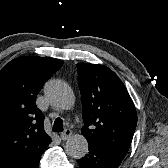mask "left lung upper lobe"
<instances>
[{
    "mask_svg": "<svg viewBox=\"0 0 168 168\" xmlns=\"http://www.w3.org/2000/svg\"><path fill=\"white\" fill-rule=\"evenodd\" d=\"M77 70L83 136L88 143L124 158L137 124L136 109L126 87L106 66L78 63Z\"/></svg>",
    "mask_w": 168,
    "mask_h": 168,
    "instance_id": "obj_1",
    "label": "left lung upper lobe"
}]
</instances>
